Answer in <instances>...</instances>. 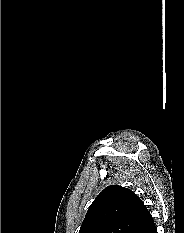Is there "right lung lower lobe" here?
I'll use <instances>...</instances> for the list:
<instances>
[{"mask_svg":"<svg viewBox=\"0 0 184 233\" xmlns=\"http://www.w3.org/2000/svg\"><path fill=\"white\" fill-rule=\"evenodd\" d=\"M133 233H157V229L152 216H150L139 228Z\"/></svg>","mask_w":184,"mask_h":233,"instance_id":"right-lung-lower-lobe-1","label":"right lung lower lobe"}]
</instances>
